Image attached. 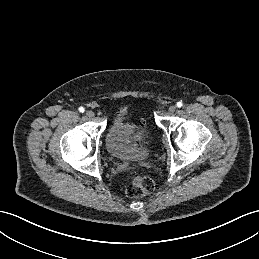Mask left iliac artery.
Returning <instances> with one entry per match:
<instances>
[{
	"instance_id": "1",
	"label": "left iliac artery",
	"mask_w": 259,
	"mask_h": 259,
	"mask_svg": "<svg viewBox=\"0 0 259 259\" xmlns=\"http://www.w3.org/2000/svg\"><path fill=\"white\" fill-rule=\"evenodd\" d=\"M182 105H183V103H182L181 101L177 102V104H176V106H177L178 108L182 107Z\"/></svg>"
}]
</instances>
